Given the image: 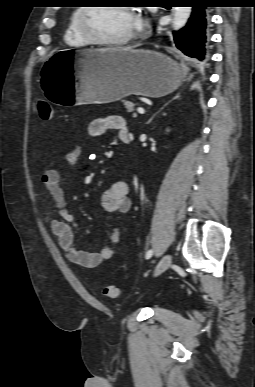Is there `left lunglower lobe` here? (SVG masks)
<instances>
[{
  "instance_id": "left-lung-lower-lobe-1",
  "label": "left lung lower lobe",
  "mask_w": 255,
  "mask_h": 387,
  "mask_svg": "<svg viewBox=\"0 0 255 387\" xmlns=\"http://www.w3.org/2000/svg\"><path fill=\"white\" fill-rule=\"evenodd\" d=\"M192 5V13L187 25L173 34L174 45L181 50L194 66L208 59L209 50V4L210 0H184Z\"/></svg>"
}]
</instances>
